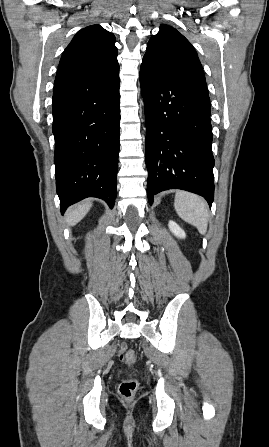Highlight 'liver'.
<instances>
[{
	"label": "liver",
	"mask_w": 269,
	"mask_h": 447,
	"mask_svg": "<svg viewBox=\"0 0 269 447\" xmlns=\"http://www.w3.org/2000/svg\"><path fill=\"white\" fill-rule=\"evenodd\" d=\"M92 206V202H84V204H77L74 208H69L66 214V222L69 225H76L80 220L85 218L86 214H88L90 208Z\"/></svg>",
	"instance_id": "6515ba94"
}]
</instances>
